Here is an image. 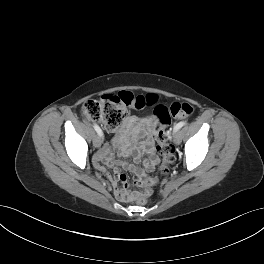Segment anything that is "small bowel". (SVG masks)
I'll list each match as a JSON object with an SVG mask.
<instances>
[{
    "label": "small bowel",
    "instance_id": "small-bowel-1",
    "mask_svg": "<svg viewBox=\"0 0 264 264\" xmlns=\"http://www.w3.org/2000/svg\"><path fill=\"white\" fill-rule=\"evenodd\" d=\"M155 127L156 122L153 116H129L125 120L123 129L113 138L111 144L102 148L95 156V165L99 170L104 169L103 164L111 167L114 173L113 192L121 200L130 201L133 194L129 188L127 176L121 172V169L132 171L140 177L145 172L153 170L158 163L154 139ZM113 146L119 147L123 157L133 154L136 163H139L141 155L146 153L148 158L143 168L125 161H115L112 153Z\"/></svg>",
    "mask_w": 264,
    "mask_h": 264
}]
</instances>
